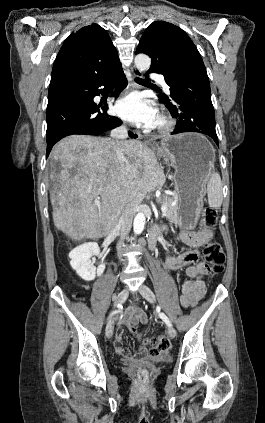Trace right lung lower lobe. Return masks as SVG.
Segmentation results:
<instances>
[{"label": "right lung lower lobe", "mask_w": 265, "mask_h": 423, "mask_svg": "<svg viewBox=\"0 0 265 423\" xmlns=\"http://www.w3.org/2000/svg\"><path fill=\"white\" fill-rule=\"evenodd\" d=\"M114 85L116 90L111 95L114 97L127 86L122 69L104 78H90L49 89L46 157L53 145L68 135H98L122 124L117 117L107 114V105H96L93 101L101 93L99 87L107 89ZM129 136L137 137L132 132H129Z\"/></svg>", "instance_id": "right-lung-lower-lobe-1"}]
</instances>
